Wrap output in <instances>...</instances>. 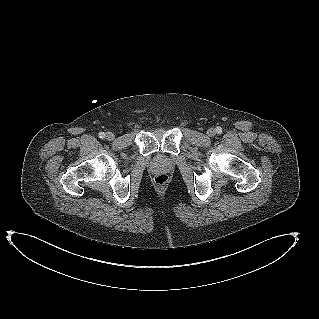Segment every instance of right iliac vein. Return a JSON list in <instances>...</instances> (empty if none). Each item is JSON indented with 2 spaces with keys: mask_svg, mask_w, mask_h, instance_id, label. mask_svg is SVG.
Here are the masks:
<instances>
[{
  "mask_svg": "<svg viewBox=\"0 0 319 319\" xmlns=\"http://www.w3.org/2000/svg\"><path fill=\"white\" fill-rule=\"evenodd\" d=\"M114 134L112 132H107L106 135H105V138L109 141L113 140L114 139Z\"/></svg>",
  "mask_w": 319,
  "mask_h": 319,
  "instance_id": "right-iliac-vein-1",
  "label": "right iliac vein"
}]
</instances>
